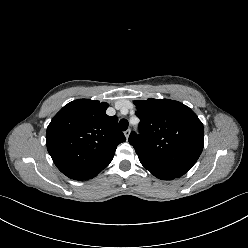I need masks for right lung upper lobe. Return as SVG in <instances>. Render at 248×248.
Returning a JSON list of instances; mask_svg holds the SVG:
<instances>
[{"label":"right lung upper lobe","instance_id":"right-lung-upper-lobe-1","mask_svg":"<svg viewBox=\"0 0 248 248\" xmlns=\"http://www.w3.org/2000/svg\"><path fill=\"white\" fill-rule=\"evenodd\" d=\"M108 103L78 99L65 105L46 132L48 152L57 168L67 174L104 169L125 136L118 118L108 116Z\"/></svg>","mask_w":248,"mask_h":248}]
</instances>
